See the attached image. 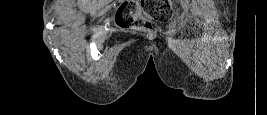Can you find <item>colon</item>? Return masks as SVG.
Wrapping results in <instances>:
<instances>
[{
	"label": "colon",
	"mask_w": 267,
	"mask_h": 115,
	"mask_svg": "<svg viewBox=\"0 0 267 115\" xmlns=\"http://www.w3.org/2000/svg\"><path fill=\"white\" fill-rule=\"evenodd\" d=\"M140 6L152 17L153 22L141 17ZM172 13L171 0H130L118 8L116 22L119 26L135 27L153 33L157 30V23L168 22Z\"/></svg>",
	"instance_id": "colon-1"
}]
</instances>
